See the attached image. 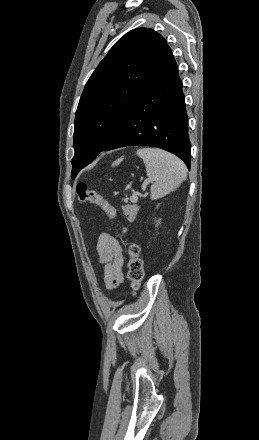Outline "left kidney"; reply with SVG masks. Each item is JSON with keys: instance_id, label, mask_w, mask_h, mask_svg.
<instances>
[{"instance_id": "1", "label": "left kidney", "mask_w": 259, "mask_h": 440, "mask_svg": "<svg viewBox=\"0 0 259 440\" xmlns=\"http://www.w3.org/2000/svg\"><path fill=\"white\" fill-rule=\"evenodd\" d=\"M160 221H161V219H159V220L157 221V225H156V226H158V225L160 224Z\"/></svg>"}]
</instances>
